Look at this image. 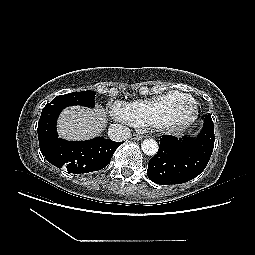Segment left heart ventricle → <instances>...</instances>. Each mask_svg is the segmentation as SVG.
<instances>
[{
	"mask_svg": "<svg viewBox=\"0 0 255 255\" xmlns=\"http://www.w3.org/2000/svg\"><path fill=\"white\" fill-rule=\"evenodd\" d=\"M177 116H181L183 114V111L181 109H178L176 111Z\"/></svg>",
	"mask_w": 255,
	"mask_h": 255,
	"instance_id": "b2bd125f",
	"label": "left heart ventricle"
}]
</instances>
